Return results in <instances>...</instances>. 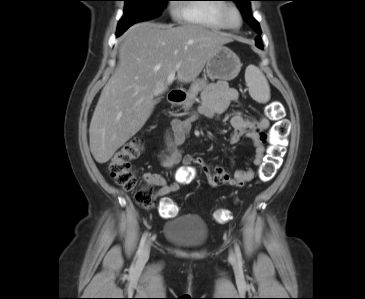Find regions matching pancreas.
Segmentation results:
<instances>
[{
  "label": "pancreas",
  "mask_w": 365,
  "mask_h": 299,
  "mask_svg": "<svg viewBox=\"0 0 365 299\" xmlns=\"http://www.w3.org/2000/svg\"><path fill=\"white\" fill-rule=\"evenodd\" d=\"M206 85H207L206 79H198L192 83L188 92L187 101L184 104L185 109H189L192 106L198 93L201 92L206 87Z\"/></svg>",
  "instance_id": "pancreas-1"
}]
</instances>
